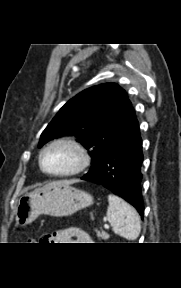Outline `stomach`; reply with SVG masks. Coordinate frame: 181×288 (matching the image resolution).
<instances>
[{
  "mask_svg": "<svg viewBox=\"0 0 181 288\" xmlns=\"http://www.w3.org/2000/svg\"><path fill=\"white\" fill-rule=\"evenodd\" d=\"M93 204V197L66 181H56L23 195L17 204L15 221L19 226L32 223L39 215L70 216Z\"/></svg>",
  "mask_w": 181,
  "mask_h": 288,
  "instance_id": "stomach-1",
  "label": "stomach"
}]
</instances>
